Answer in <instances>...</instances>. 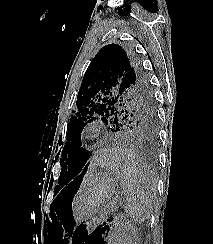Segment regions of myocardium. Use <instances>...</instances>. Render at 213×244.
Returning a JSON list of instances; mask_svg holds the SVG:
<instances>
[{"label":"myocardium","mask_w":213,"mask_h":244,"mask_svg":"<svg viewBox=\"0 0 213 244\" xmlns=\"http://www.w3.org/2000/svg\"><path fill=\"white\" fill-rule=\"evenodd\" d=\"M98 135H99V129L95 125L86 127L82 132V136L87 139H94Z\"/></svg>","instance_id":"1"}]
</instances>
